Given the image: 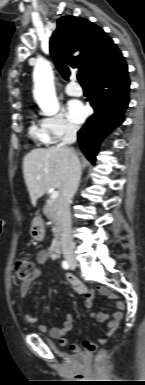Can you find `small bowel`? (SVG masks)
Segmentation results:
<instances>
[{"instance_id": "c3829d8e", "label": "small bowel", "mask_w": 145, "mask_h": 385, "mask_svg": "<svg viewBox=\"0 0 145 385\" xmlns=\"http://www.w3.org/2000/svg\"><path fill=\"white\" fill-rule=\"evenodd\" d=\"M49 259H50L49 251L40 250L37 253L36 261H37L38 267L34 270L32 278L26 283H21L19 286V297L21 299L26 297L32 281L41 276L42 270L40 266L45 265L49 261ZM66 279L68 283L72 286L75 292H77L78 294H82L86 297L85 307L87 309L88 315L99 322L108 321L107 329L104 335L99 339V343L104 344L110 338L113 331L116 329L120 320L122 319V316H123L122 311L125 308L124 302L119 298V296L116 293H113L111 290H109L106 287H101L98 290L99 294L104 297L114 299L117 310L113 313L112 316H110L106 312H94L90 308H91L92 299L95 296V291L92 289H89L85 284L79 281L78 278L73 274H69V273L66 274ZM25 319L30 323H38V318L31 314H26ZM74 320H75V315L73 313H68L66 316V320L61 328H52L47 326L46 324H39L38 327L41 332L46 333L53 338L59 339L61 346L66 347L68 346V341L64 338V336L72 330ZM88 344H92L96 347L95 344L86 341L85 346H87ZM71 349L74 352H80L81 350L78 345H72Z\"/></svg>"}]
</instances>
